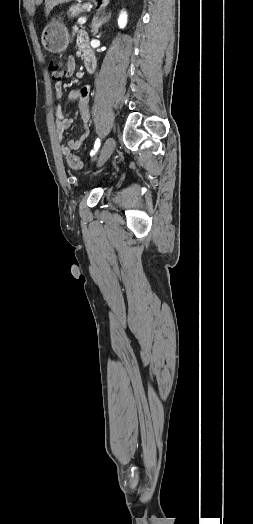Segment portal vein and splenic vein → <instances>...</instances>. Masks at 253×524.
Instances as JSON below:
<instances>
[{"mask_svg": "<svg viewBox=\"0 0 253 524\" xmlns=\"http://www.w3.org/2000/svg\"><path fill=\"white\" fill-rule=\"evenodd\" d=\"M85 23H86V18H85V17H80V18L78 19V24L83 25V24H85Z\"/></svg>", "mask_w": 253, "mask_h": 524, "instance_id": "1", "label": "portal vein and splenic vein"}]
</instances>
